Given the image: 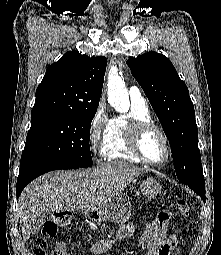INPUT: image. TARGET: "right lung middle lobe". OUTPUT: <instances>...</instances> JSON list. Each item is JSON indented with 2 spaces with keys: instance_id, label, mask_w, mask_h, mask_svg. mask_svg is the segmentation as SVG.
Listing matches in <instances>:
<instances>
[{
  "instance_id": "dd1d6c3e",
  "label": "right lung middle lobe",
  "mask_w": 221,
  "mask_h": 255,
  "mask_svg": "<svg viewBox=\"0 0 221 255\" xmlns=\"http://www.w3.org/2000/svg\"><path fill=\"white\" fill-rule=\"evenodd\" d=\"M96 110L34 113L20 164L49 162L78 167L92 166L90 127Z\"/></svg>"
}]
</instances>
